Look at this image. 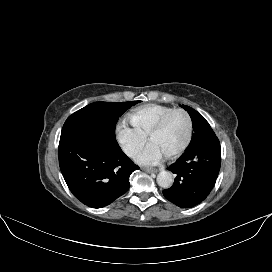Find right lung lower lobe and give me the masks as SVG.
<instances>
[{"mask_svg": "<svg viewBox=\"0 0 272 272\" xmlns=\"http://www.w3.org/2000/svg\"><path fill=\"white\" fill-rule=\"evenodd\" d=\"M58 157L72 194L94 208L107 206L126 193L129 176L139 169L123 153L116 138L82 125L63 126Z\"/></svg>", "mask_w": 272, "mask_h": 272, "instance_id": "1", "label": "right lung lower lobe"}]
</instances>
